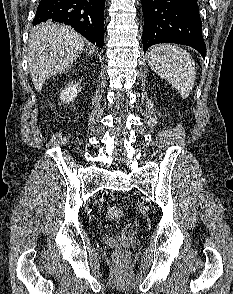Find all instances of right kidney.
Here are the masks:
<instances>
[{"mask_svg": "<svg viewBox=\"0 0 233 294\" xmlns=\"http://www.w3.org/2000/svg\"><path fill=\"white\" fill-rule=\"evenodd\" d=\"M79 92H80L79 84L71 83L70 85H68L67 88H65V90L62 91L60 95V99L63 102H68V103L72 102L77 97Z\"/></svg>", "mask_w": 233, "mask_h": 294, "instance_id": "1", "label": "right kidney"}]
</instances>
